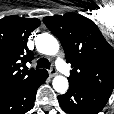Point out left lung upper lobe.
<instances>
[{"instance_id":"5c2ea615","label":"left lung upper lobe","mask_w":114,"mask_h":114,"mask_svg":"<svg viewBox=\"0 0 114 114\" xmlns=\"http://www.w3.org/2000/svg\"><path fill=\"white\" fill-rule=\"evenodd\" d=\"M47 28L58 37L73 70L68 78L76 86L108 94L114 88V50L90 19L78 15L45 17Z\"/></svg>"}]
</instances>
